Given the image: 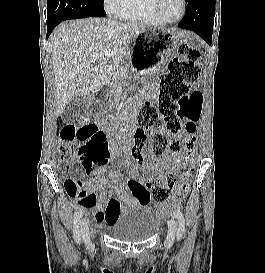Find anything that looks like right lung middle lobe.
<instances>
[{
  "label": "right lung middle lobe",
  "mask_w": 265,
  "mask_h": 273,
  "mask_svg": "<svg viewBox=\"0 0 265 273\" xmlns=\"http://www.w3.org/2000/svg\"><path fill=\"white\" fill-rule=\"evenodd\" d=\"M104 0H48L47 24L91 16L104 17Z\"/></svg>",
  "instance_id": "right-lung-middle-lobe-1"
}]
</instances>
